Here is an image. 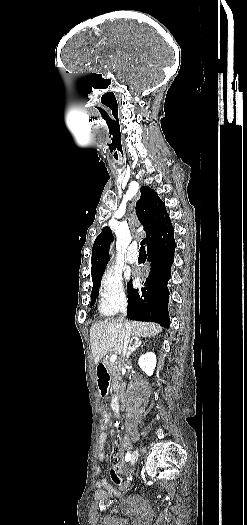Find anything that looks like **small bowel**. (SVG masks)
Wrapping results in <instances>:
<instances>
[{
    "label": "small bowel",
    "mask_w": 247,
    "mask_h": 525,
    "mask_svg": "<svg viewBox=\"0 0 247 525\" xmlns=\"http://www.w3.org/2000/svg\"><path fill=\"white\" fill-rule=\"evenodd\" d=\"M107 438H108V434L107 433H100L99 440H98L97 459H98V461L101 464H104L105 463V459H106V456H105V442L107 441ZM111 461L115 462V466H118V467H114L115 474H112L110 476V479L112 481L116 480V482H115L116 487L122 488V487H124L125 482L122 479H118V477H119L118 476L119 463L121 462V459H120V454H119V452L117 450L112 453ZM112 465H113V463H112ZM101 472H102V467L98 466L96 468V474L98 476V478L96 480V486L99 489H102V488L106 487V480H105V478L100 476ZM128 479H131V476H128ZM127 490L130 493L135 492V490H136L135 482H132V484L128 485ZM107 494H108V496L113 497L115 495H118L119 492L116 491L113 488H108Z\"/></svg>",
    "instance_id": "obj_1"
}]
</instances>
